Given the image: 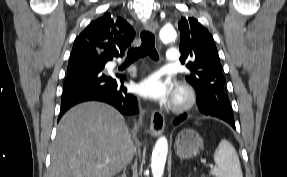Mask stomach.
Instances as JSON below:
<instances>
[{"label":"stomach","mask_w":287,"mask_h":177,"mask_svg":"<svg viewBox=\"0 0 287 177\" xmlns=\"http://www.w3.org/2000/svg\"><path fill=\"white\" fill-rule=\"evenodd\" d=\"M203 147V139L199 133L188 128L179 132L174 144L177 156L182 159L196 157Z\"/></svg>","instance_id":"obj_1"}]
</instances>
